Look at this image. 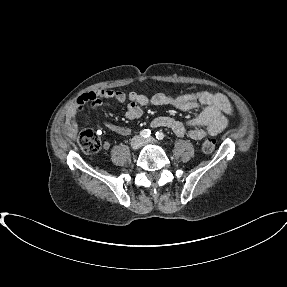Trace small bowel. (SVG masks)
Instances as JSON below:
<instances>
[{"label":"small bowel","instance_id":"c3829d8e","mask_svg":"<svg viewBox=\"0 0 287 287\" xmlns=\"http://www.w3.org/2000/svg\"><path fill=\"white\" fill-rule=\"evenodd\" d=\"M103 100H112L126 103V118L138 119L144 108L148 106L172 105L181 110H191L203 107L202 111L188 123L184 124L169 116H158L153 119V127H166L177 136H188L194 140H201L208 136H214L224 130L228 122V115L232 108L228 99L222 94L209 92H188L176 96L157 93L153 96L138 94L134 91L125 93L108 89L88 92L78 96L68 111L65 119L64 131L69 137H74L78 131L77 115L86 105L98 110ZM106 125L120 135H128L129 127L121 126L107 121ZM109 143H104V149L109 148Z\"/></svg>","mask_w":287,"mask_h":287}]
</instances>
